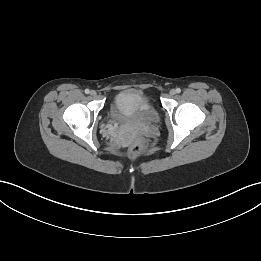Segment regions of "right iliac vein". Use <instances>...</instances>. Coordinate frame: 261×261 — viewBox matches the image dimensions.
<instances>
[{
  "label": "right iliac vein",
  "mask_w": 261,
  "mask_h": 261,
  "mask_svg": "<svg viewBox=\"0 0 261 261\" xmlns=\"http://www.w3.org/2000/svg\"><path fill=\"white\" fill-rule=\"evenodd\" d=\"M96 94H97V93H96L95 90H92V91L90 92V95H91V96H96Z\"/></svg>",
  "instance_id": "right-iliac-vein-1"
}]
</instances>
